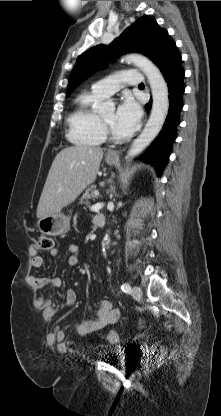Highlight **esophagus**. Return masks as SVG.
<instances>
[{
  "instance_id": "obj_1",
  "label": "esophagus",
  "mask_w": 221,
  "mask_h": 416,
  "mask_svg": "<svg viewBox=\"0 0 221 416\" xmlns=\"http://www.w3.org/2000/svg\"><path fill=\"white\" fill-rule=\"evenodd\" d=\"M119 151H109L107 157L109 158H119Z\"/></svg>"
}]
</instances>
